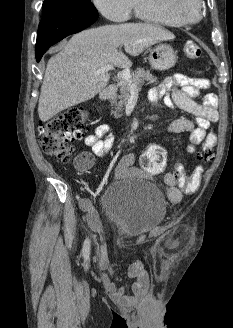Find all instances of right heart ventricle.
<instances>
[{"mask_svg": "<svg viewBox=\"0 0 233 328\" xmlns=\"http://www.w3.org/2000/svg\"><path fill=\"white\" fill-rule=\"evenodd\" d=\"M133 11L136 18L153 23H159L167 26H180L169 17L158 13L147 5V0H134Z\"/></svg>", "mask_w": 233, "mask_h": 328, "instance_id": "1", "label": "right heart ventricle"}]
</instances>
